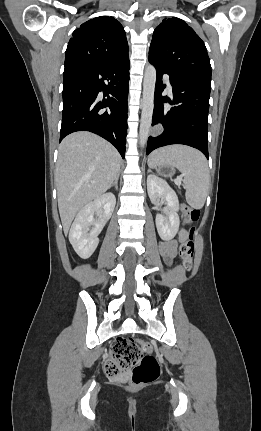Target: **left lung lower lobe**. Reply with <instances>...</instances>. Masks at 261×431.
<instances>
[{
	"instance_id": "obj_1",
	"label": "left lung lower lobe",
	"mask_w": 261,
	"mask_h": 431,
	"mask_svg": "<svg viewBox=\"0 0 261 431\" xmlns=\"http://www.w3.org/2000/svg\"><path fill=\"white\" fill-rule=\"evenodd\" d=\"M157 72L152 126L159 124L161 132L150 136L146 154L154 149L184 144L200 150L208 159V110L211 83L189 74L173 71L149 58ZM168 74L173 87V101L161 96L165 85L162 75ZM163 102L176 106L164 108Z\"/></svg>"
}]
</instances>
